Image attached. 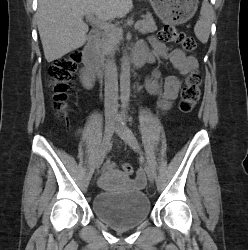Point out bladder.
Listing matches in <instances>:
<instances>
[{"mask_svg": "<svg viewBox=\"0 0 248 250\" xmlns=\"http://www.w3.org/2000/svg\"><path fill=\"white\" fill-rule=\"evenodd\" d=\"M94 213L108 225L129 229L140 225L151 212L150 200L141 190L126 193L105 191L93 199Z\"/></svg>", "mask_w": 248, "mask_h": 250, "instance_id": "bladder-1", "label": "bladder"}]
</instances>
